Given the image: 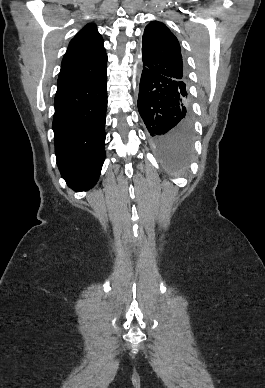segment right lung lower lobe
I'll return each instance as SVG.
<instances>
[{
    "mask_svg": "<svg viewBox=\"0 0 265 388\" xmlns=\"http://www.w3.org/2000/svg\"><path fill=\"white\" fill-rule=\"evenodd\" d=\"M53 131L61 176L76 192L92 188L105 160L107 72L57 89Z\"/></svg>",
    "mask_w": 265,
    "mask_h": 388,
    "instance_id": "obj_1",
    "label": "right lung lower lobe"
}]
</instances>
